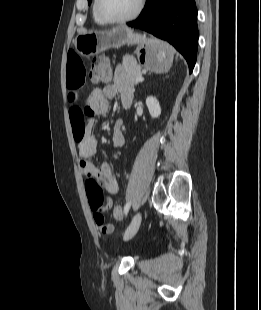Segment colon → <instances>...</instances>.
I'll return each mask as SVG.
<instances>
[{"label": "colon", "instance_id": "1", "mask_svg": "<svg viewBox=\"0 0 261 310\" xmlns=\"http://www.w3.org/2000/svg\"><path fill=\"white\" fill-rule=\"evenodd\" d=\"M112 70L108 59L104 56L94 58L92 63V70L90 72V79L95 84L105 83L110 80ZM87 195L89 204L94 213V220L99 230L103 234H110L113 230L111 224L107 223L103 215L98 212L99 209L107 207L108 203L105 201L103 191L94 179L87 180ZM113 216L115 219L122 218V208L119 205L113 207Z\"/></svg>", "mask_w": 261, "mask_h": 310}]
</instances>
